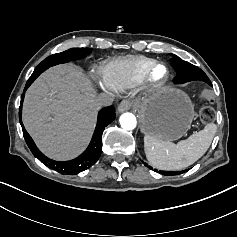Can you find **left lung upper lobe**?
<instances>
[{
    "label": "left lung upper lobe",
    "instance_id": "obj_1",
    "mask_svg": "<svg viewBox=\"0 0 237 237\" xmlns=\"http://www.w3.org/2000/svg\"><path fill=\"white\" fill-rule=\"evenodd\" d=\"M171 55L173 56L172 65L177 72V77L174 79L175 84H183V83H186L189 81L200 80V81L208 83L210 86H212L211 81L209 80L207 75L200 68H198L197 66H195L187 61L180 59L178 56H176L174 54H171ZM144 165L147 166L148 168L152 169L146 163H144ZM154 171L158 172L160 174H163V175H167V176H171V175H175L176 173H179V172H170V171H168V172L167 171H158L156 169Z\"/></svg>",
    "mask_w": 237,
    "mask_h": 237
}]
</instances>
